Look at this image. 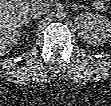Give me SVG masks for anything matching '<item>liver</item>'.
I'll list each match as a JSON object with an SVG mask.
<instances>
[{
    "mask_svg": "<svg viewBox=\"0 0 111 106\" xmlns=\"http://www.w3.org/2000/svg\"><path fill=\"white\" fill-rule=\"evenodd\" d=\"M29 12L28 0L0 1V53L9 52L19 40Z\"/></svg>",
    "mask_w": 111,
    "mask_h": 106,
    "instance_id": "6515ba94",
    "label": "liver"
}]
</instances>
